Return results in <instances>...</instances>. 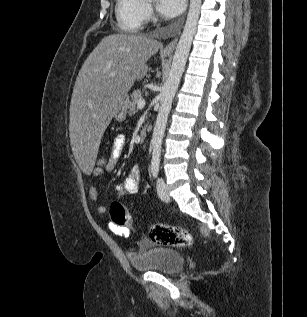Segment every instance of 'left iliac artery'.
Returning a JSON list of instances; mask_svg holds the SVG:
<instances>
[{"label":"left iliac artery","instance_id":"obj_1","mask_svg":"<svg viewBox=\"0 0 307 317\" xmlns=\"http://www.w3.org/2000/svg\"><path fill=\"white\" fill-rule=\"evenodd\" d=\"M151 172L153 174V177L157 178L158 173H159V166L158 165L152 166Z\"/></svg>","mask_w":307,"mask_h":317}]
</instances>
